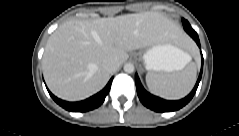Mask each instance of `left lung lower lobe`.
<instances>
[{
  "mask_svg": "<svg viewBox=\"0 0 239 136\" xmlns=\"http://www.w3.org/2000/svg\"><path fill=\"white\" fill-rule=\"evenodd\" d=\"M183 27H184L185 31L195 40L197 45L200 47L199 37H198L197 33L193 30V28L184 22H183ZM202 71H203V57H202L201 71H200L198 80H197L193 90L191 91V93L188 96H186L185 98H183L181 100H177V101L164 100L162 98H159L157 96L150 94L143 88V86L138 78V75L136 74L135 82H136L138 97H139L140 101L146 107H148L149 109L156 111V112H172V111L179 110L193 98V96L198 88L199 82L201 80Z\"/></svg>",
  "mask_w": 239,
  "mask_h": 136,
  "instance_id": "1",
  "label": "left lung lower lobe"
}]
</instances>
